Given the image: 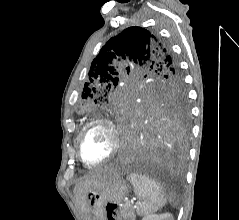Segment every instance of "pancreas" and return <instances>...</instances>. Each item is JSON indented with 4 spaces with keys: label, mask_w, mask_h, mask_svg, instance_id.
I'll use <instances>...</instances> for the list:
<instances>
[{
    "label": "pancreas",
    "mask_w": 239,
    "mask_h": 220,
    "mask_svg": "<svg viewBox=\"0 0 239 220\" xmlns=\"http://www.w3.org/2000/svg\"><path fill=\"white\" fill-rule=\"evenodd\" d=\"M120 214L124 220H135L136 219L134 209L130 205H124L123 207H121Z\"/></svg>",
    "instance_id": "obj_1"
}]
</instances>
